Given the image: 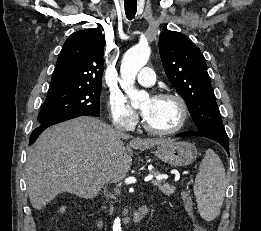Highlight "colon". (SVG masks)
Here are the masks:
<instances>
[{
	"instance_id": "colon-1",
	"label": "colon",
	"mask_w": 261,
	"mask_h": 231,
	"mask_svg": "<svg viewBox=\"0 0 261 231\" xmlns=\"http://www.w3.org/2000/svg\"><path fill=\"white\" fill-rule=\"evenodd\" d=\"M187 204H188L189 208L192 207L191 201H188ZM195 231H206V229L202 225H197L196 228H195Z\"/></svg>"
}]
</instances>
